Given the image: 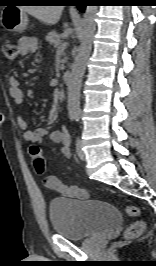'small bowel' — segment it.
<instances>
[{
  "label": "small bowel",
  "instance_id": "1",
  "mask_svg": "<svg viewBox=\"0 0 156 266\" xmlns=\"http://www.w3.org/2000/svg\"><path fill=\"white\" fill-rule=\"evenodd\" d=\"M19 53L22 56L35 53L37 51V42L34 38L23 37L18 43ZM9 94L14 104L20 107L24 102V94L20 87L19 80L16 77L9 79ZM16 122L23 133V138L27 142L37 145L41 144L46 138L54 143L62 145L61 152L65 157L70 155V135L65 127L62 130L50 131L46 128L29 129L28 124L21 114L16 117ZM44 186L48 191L58 193L60 196L76 199H87L88 193L85 189L78 186H68L61 182L57 177L49 176L44 180Z\"/></svg>",
  "mask_w": 156,
  "mask_h": 266
}]
</instances>
